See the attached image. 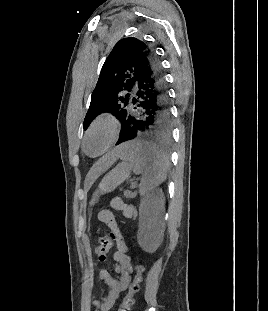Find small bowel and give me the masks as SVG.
Here are the masks:
<instances>
[{
	"label": "small bowel",
	"instance_id": "1",
	"mask_svg": "<svg viewBox=\"0 0 268 311\" xmlns=\"http://www.w3.org/2000/svg\"><path fill=\"white\" fill-rule=\"evenodd\" d=\"M98 218L110 228L114 235L117 250L113 255V269L120 277L119 279H115L107 270H100L99 279L106 285L107 290L100 300L92 293L90 296V304L96 311H110L120 294L127 289L131 280L133 266L131 258L127 254V246L122 239L113 213L110 211H102L99 213Z\"/></svg>",
	"mask_w": 268,
	"mask_h": 311
}]
</instances>
